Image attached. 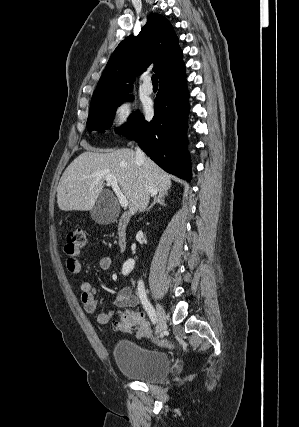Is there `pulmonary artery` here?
<instances>
[{
    "label": "pulmonary artery",
    "instance_id": "pulmonary-artery-1",
    "mask_svg": "<svg viewBox=\"0 0 299 427\" xmlns=\"http://www.w3.org/2000/svg\"><path fill=\"white\" fill-rule=\"evenodd\" d=\"M150 80H151V77L148 75L145 76L143 80L142 89L146 94H151L153 92V86Z\"/></svg>",
    "mask_w": 299,
    "mask_h": 427
}]
</instances>
